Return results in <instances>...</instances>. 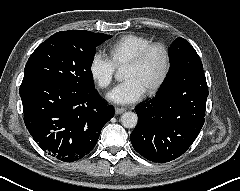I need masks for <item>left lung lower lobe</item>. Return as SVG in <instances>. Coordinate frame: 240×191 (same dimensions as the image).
<instances>
[{"label":"left lung lower lobe","instance_id":"0a47b994","mask_svg":"<svg viewBox=\"0 0 240 191\" xmlns=\"http://www.w3.org/2000/svg\"><path fill=\"white\" fill-rule=\"evenodd\" d=\"M156 96L136 108L133 148L146 159L165 163L184 154L205 118L208 87L203 68L184 65Z\"/></svg>","mask_w":240,"mask_h":191}]
</instances>
